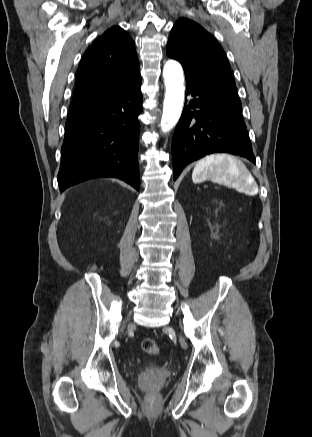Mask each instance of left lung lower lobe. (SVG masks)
<instances>
[{
  "instance_id": "0a47b994",
  "label": "left lung lower lobe",
  "mask_w": 312,
  "mask_h": 437,
  "mask_svg": "<svg viewBox=\"0 0 312 437\" xmlns=\"http://www.w3.org/2000/svg\"><path fill=\"white\" fill-rule=\"evenodd\" d=\"M187 102L172 141L174 180L183 168L207 154L240 155L255 164L242 111L226 97L186 77Z\"/></svg>"
}]
</instances>
